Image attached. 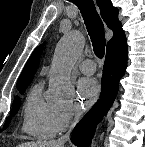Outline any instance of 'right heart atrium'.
<instances>
[{
	"mask_svg": "<svg viewBox=\"0 0 145 147\" xmlns=\"http://www.w3.org/2000/svg\"><path fill=\"white\" fill-rule=\"evenodd\" d=\"M81 115V110L76 104L58 108L54 118L55 133L66 131Z\"/></svg>",
	"mask_w": 145,
	"mask_h": 147,
	"instance_id": "right-heart-atrium-1",
	"label": "right heart atrium"
}]
</instances>
